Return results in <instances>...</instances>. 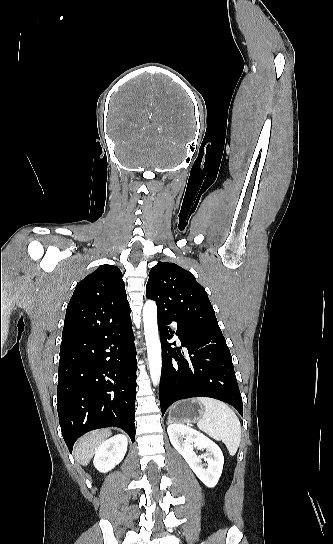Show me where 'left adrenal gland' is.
Segmentation results:
<instances>
[{"mask_svg": "<svg viewBox=\"0 0 333 544\" xmlns=\"http://www.w3.org/2000/svg\"><path fill=\"white\" fill-rule=\"evenodd\" d=\"M170 423H171V420L169 419L168 422H167V424L169 425Z\"/></svg>", "mask_w": 333, "mask_h": 544, "instance_id": "1", "label": "left adrenal gland"}]
</instances>
